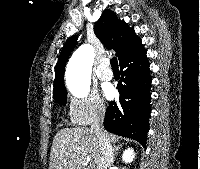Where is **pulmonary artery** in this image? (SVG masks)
<instances>
[{
    "instance_id": "obj_1",
    "label": "pulmonary artery",
    "mask_w": 200,
    "mask_h": 169,
    "mask_svg": "<svg viewBox=\"0 0 200 169\" xmlns=\"http://www.w3.org/2000/svg\"><path fill=\"white\" fill-rule=\"evenodd\" d=\"M108 63L103 62L96 71L97 77L102 81H110L113 78L112 72L107 67Z\"/></svg>"
}]
</instances>
